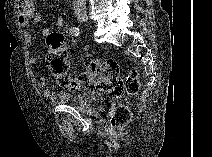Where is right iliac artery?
Listing matches in <instances>:
<instances>
[{
	"label": "right iliac artery",
	"mask_w": 212,
	"mask_h": 157,
	"mask_svg": "<svg viewBox=\"0 0 212 157\" xmlns=\"http://www.w3.org/2000/svg\"><path fill=\"white\" fill-rule=\"evenodd\" d=\"M70 33L74 36H78L80 34V30L78 27H71L70 28Z\"/></svg>",
	"instance_id": "82829eb1"
}]
</instances>
